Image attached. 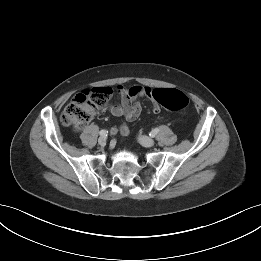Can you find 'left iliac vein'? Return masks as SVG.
<instances>
[{
	"label": "left iliac vein",
	"mask_w": 261,
	"mask_h": 261,
	"mask_svg": "<svg viewBox=\"0 0 261 261\" xmlns=\"http://www.w3.org/2000/svg\"><path fill=\"white\" fill-rule=\"evenodd\" d=\"M139 142L145 147H151L154 145V140L147 136H141Z\"/></svg>",
	"instance_id": "4c4485c4"
}]
</instances>
